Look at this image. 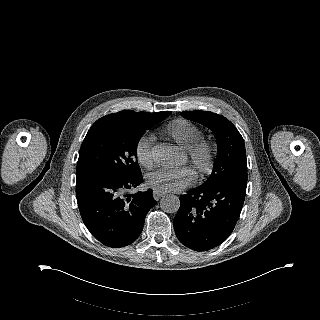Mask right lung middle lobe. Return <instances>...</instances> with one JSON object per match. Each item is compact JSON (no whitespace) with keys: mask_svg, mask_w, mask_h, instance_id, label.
<instances>
[{"mask_svg":"<svg viewBox=\"0 0 320 320\" xmlns=\"http://www.w3.org/2000/svg\"><path fill=\"white\" fill-rule=\"evenodd\" d=\"M167 116L169 112H161ZM143 134L108 131L85 138L80 148L77 168L100 167L125 178H135L141 171L137 163V146Z\"/></svg>","mask_w":320,"mask_h":320,"instance_id":"1","label":"right lung middle lobe"}]
</instances>
